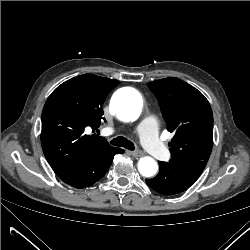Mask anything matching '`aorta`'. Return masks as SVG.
Listing matches in <instances>:
<instances>
[{
	"label": "aorta",
	"mask_w": 250,
	"mask_h": 250,
	"mask_svg": "<svg viewBox=\"0 0 250 250\" xmlns=\"http://www.w3.org/2000/svg\"><path fill=\"white\" fill-rule=\"evenodd\" d=\"M110 110L113 114L125 120H135L142 111L141 96L132 88L117 91L112 97ZM156 161L151 157L140 158L138 170L142 176L150 177L157 172Z\"/></svg>",
	"instance_id": "1"
}]
</instances>
